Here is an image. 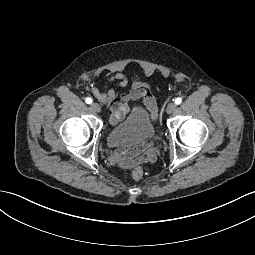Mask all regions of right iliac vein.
Returning a JSON list of instances; mask_svg holds the SVG:
<instances>
[{
	"mask_svg": "<svg viewBox=\"0 0 255 255\" xmlns=\"http://www.w3.org/2000/svg\"><path fill=\"white\" fill-rule=\"evenodd\" d=\"M90 108L96 113H99L101 111L100 105L95 102L90 105Z\"/></svg>",
	"mask_w": 255,
	"mask_h": 255,
	"instance_id": "right-iliac-vein-1",
	"label": "right iliac vein"
}]
</instances>
